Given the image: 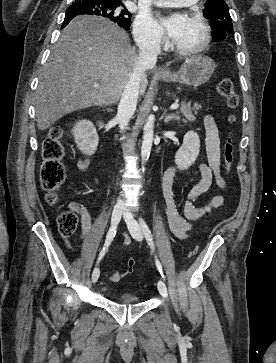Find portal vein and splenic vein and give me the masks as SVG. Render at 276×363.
<instances>
[{"label":"portal vein and splenic vein","mask_w":276,"mask_h":363,"mask_svg":"<svg viewBox=\"0 0 276 363\" xmlns=\"http://www.w3.org/2000/svg\"><path fill=\"white\" fill-rule=\"evenodd\" d=\"M93 87H94V88H99L100 86H99L98 84H94V85H93ZM178 107H179V104H178V103H174V104H172V105L170 106V109H172V110H176V109H178Z\"/></svg>","instance_id":"1"}]
</instances>
